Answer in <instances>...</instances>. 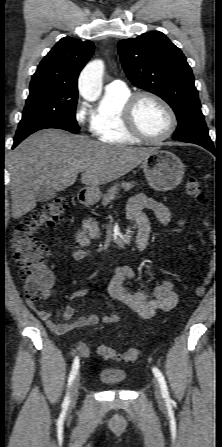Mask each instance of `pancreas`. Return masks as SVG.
Here are the masks:
<instances>
[{
	"instance_id": "pancreas-1",
	"label": "pancreas",
	"mask_w": 222,
	"mask_h": 447,
	"mask_svg": "<svg viewBox=\"0 0 222 447\" xmlns=\"http://www.w3.org/2000/svg\"><path fill=\"white\" fill-rule=\"evenodd\" d=\"M121 187L124 188L125 191L130 190L132 187H134V182H123L121 184ZM116 194H118V188L117 185L111 187L108 190V193L103 195V201H102V205L106 206L109 204V202H111L112 200L116 199ZM83 227L84 229L88 230V234L91 238H99L100 233H99V227H98V223L92 219H88L85 220L83 222Z\"/></svg>"
}]
</instances>
